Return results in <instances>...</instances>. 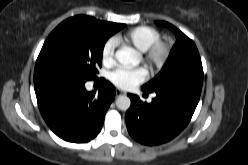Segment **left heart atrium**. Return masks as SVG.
<instances>
[{
	"label": "left heart atrium",
	"instance_id": "obj_1",
	"mask_svg": "<svg viewBox=\"0 0 248 165\" xmlns=\"http://www.w3.org/2000/svg\"><path fill=\"white\" fill-rule=\"evenodd\" d=\"M148 76L144 67L117 68L110 75L111 82L121 89H132L142 83Z\"/></svg>",
	"mask_w": 248,
	"mask_h": 165
}]
</instances>
